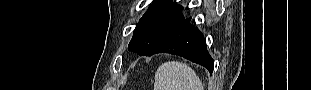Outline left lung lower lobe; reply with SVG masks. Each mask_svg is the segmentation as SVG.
<instances>
[{
	"mask_svg": "<svg viewBox=\"0 0 311 90\" xmlns=\"http://www.w3.org/2000/svg\"><path fill=\"white\" fill-rule=\"evenodd\" d=\"M191 18L181 20L153 48L148 56L156 53H170L182 56L213 72L214 61L207 51L202 33L190 24Z\"/></svg>",
	"mask_w": 311,
	"mask_h": 90,
	"instance_id": "0a47b994",
	"label": "left lung lower lobe"
}]
</instances>
